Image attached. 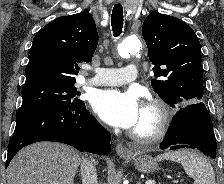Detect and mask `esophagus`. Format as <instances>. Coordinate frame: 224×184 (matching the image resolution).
Instances as JSON below:
<instances>
[{"instance_id":"esophagus-1","label":"esophagus","mask_w":224,"mask_h":184,"mask_svg":"<svg viewBox=\"0 0 224 184\" xmlns=\"http://www.w3.org/2000/svg\"><path fill=\"white\" fill-rule=\"evenodd\" d=\"M118 1H122V0H118ZM116 153L120 156H129L130 155V151L122 144L118 143L116 145Z\"/></svg>"}]
</instances>
